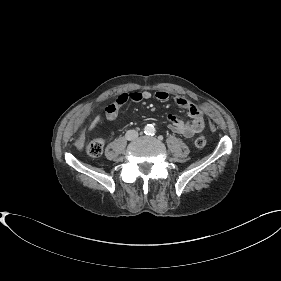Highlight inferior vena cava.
Wrapping results in <instances>:
<instances>
[{
  "label": "inferior vena cava",
  "mask_w": 281,
  "mask_h": 281,
  "mask_svg": "<svg viewBox=\"0 0 281 281\" xmlns=\"http://www.w3.org/2000/svg\"><path fill=\"white\" fill-rule=\"evenodd\" d=\"M125 137L127 140H134L138 137V132L136 130H128Z\"/></svg>",
  "instance_id": "602c4592"
}]
</instances>
